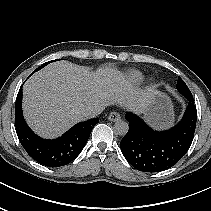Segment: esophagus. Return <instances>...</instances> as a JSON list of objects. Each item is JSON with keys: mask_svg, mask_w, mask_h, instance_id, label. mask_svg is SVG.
<instances>
[{"mask_svg": "<svg viewBox=\"0 0 211 211\" xmlns=\"http://www.w3.org/2000/svg\"><path fill=\"white\" fill-rule=\"evenodd\" d=\"M121 116L119 113L117 112H111L109 115H108V120L109 121H112V122H115V121H118L120 120Z\"/></svg>", "mask_w": 211, "mask_h": 211, "instance_id": "esophagus-1", "label": "esophagus"}]
</instances>
